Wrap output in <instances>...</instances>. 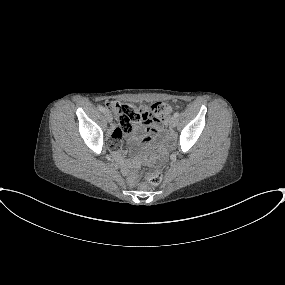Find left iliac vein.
Listing matches in <instances>:
<instances>
[{"label": "left iliac vein", "mask_w": 285, "mask_h": 285, "mask_svg": "<svg viewBox=\"0 0 285 285\" xmlns=\"http://www.w3.org/2000/svg\"><path fill=\"white\" fill-rule=\"evenodd\" d=\"M176 122H177V119L174 116H172L170 118V120H169L170 127H175L176 126Z\"/></svg>", "instance_id": "4c4485c4"}]
</instances>
